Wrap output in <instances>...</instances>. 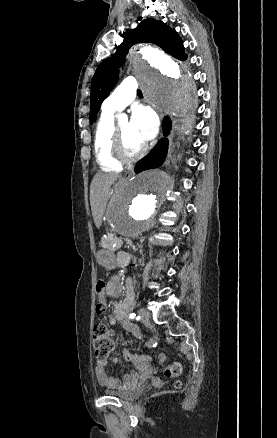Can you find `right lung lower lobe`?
<instances>
[{"mask_svg": "<svg viewBox=\"0 0 277 438\" xmlns=\"http://www.w3.org/2000/svg\"><path fill=\"white\" fill-rule=\"evenodd\" d=\"M164 135H168L171 128V121L166 118L163 122ZM168 140L162 139L158 142L155 148L147 155L143 160L139 161L136 165V171L141 172L147 169H153L160 167L167 155Z\"/></svg>", "mask_w": 277, "mask_h": 438, "instance_id": "98d812e1", "label": "right lung lower lobe"}]
</instances>
